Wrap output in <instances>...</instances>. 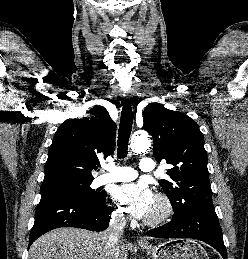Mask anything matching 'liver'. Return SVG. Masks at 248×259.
Masks as SVG:
<instances>
[{"mask_svg":"<svg viewBox=\"0 0 248 259\" xmlns=\"http://www.w3.org/2000/svg\"><path fill=\"white\" fill-rule=\"evenodd\" d=\"M128 246L118 241L106 247L103 233L79 228H57L31 245L29 259H127Z\"/></svg>","mask_w":248,"mask_h":259,"instance_id":"6515ba94","label":"liver"}]
</instances>
